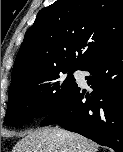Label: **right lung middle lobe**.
Segmentation results:
<instances>
[{"label": "right lung middle lobe", "instance_id": "dd1d6c3e", "mask_svg": "<svg viewBox=\"0 0 123 152\" xmlns=\"http://www.w3.org/2000/svg\"><path fill=\"white\" fill-rule=\"evenodd\" d=\"M75 70L49 71L20 82L9 92L5 124H25L62 108L78 87L72 75ZM67 72L64 77L62 74Z\"/></svg>", "mask_w": 123, "mask_h": 152}]
</instances>
